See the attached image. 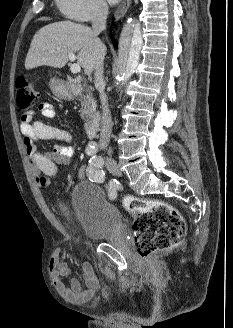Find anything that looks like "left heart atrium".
I'll return each mask as SVG.
<instances>
[{
    "label": "left heart atrium",
    "mask_w": 233,
    "mask_h": 328,
    "mask_svg": "<svg viewBox=\"0 0 233 328\" xmlns=\"http://www.w3.org/2000/svg\"><path fill=\"white\" fill-rule=\"evenodd\" d=\"M110 4H116L118 3L120 0H108Z\"/></svg>",
    "instance_id": "1"
}]
</instances>
